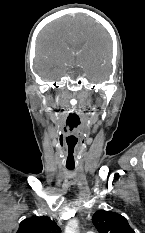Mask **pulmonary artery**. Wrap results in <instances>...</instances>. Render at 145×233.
Returning <instances> with one entry per match:
<instances>
[{"label":"pulmonary artery","mask_w":145,"mask_h":233,"mask_svg":"<svg viewBox=\"0 0 145 233\" xmlns=\"http://www.w3.org/2000/svg\"><path fill=\"white\" fill-rule=\"evenodd\" d=\"M87 233H95L94 231H88Z\"/></svg>","instance_id":"pulmonary-artery-1"}]
</instances>
